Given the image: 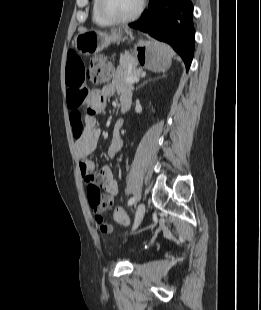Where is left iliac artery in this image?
Segmentation results:
<instances>
[{"label":"left iliac artery","instance_id":"1","mask_svg":"<svg viewBox=\"0 0 261 310\" xmlns=\"http://www.w3.org/2000/svg\"><path fill=\"white\" fill-rule=\"evenodd\" d=\"M135 200L136 199L134 197L130 198L128 201V205H132L135 202Z\"/></svg>","mask_w":261,"mask_h":310}]
</instances>
